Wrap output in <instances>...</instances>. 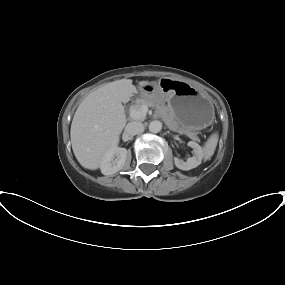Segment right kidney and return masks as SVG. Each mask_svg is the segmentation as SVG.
<instances>
[{"mask_svg": "<svg viewBox=\"0 0 285 285\" xmlns=\"http://www.w3.org/2000/svg\"><path fill=\"white\" fill-rule=\"evenodd\" d=\"M127 154L128 152L125 148H120L117 144L111 146L100 164L102 174L109 176L120 171L125 165Z\"/></svg>", "mask_w": 285, "mask_h": 285, "instance_id": "1", "label": "right kidney"}]
</instances>
